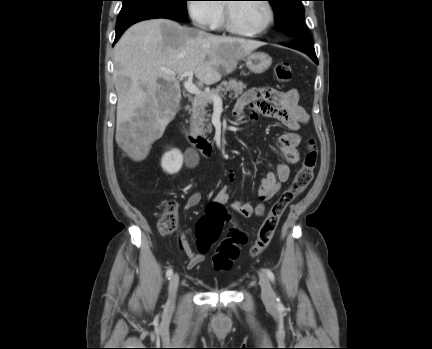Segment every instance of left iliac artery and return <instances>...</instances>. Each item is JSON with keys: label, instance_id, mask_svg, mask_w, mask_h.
I'll return each mask as SVG.
<instances>
[{"label": "left iliac artery", "instance_id": "obj_1", "mask_svg": "<svg viewBox=\"0 0 432 349\" xmlns=\"http://www.w3.org/2000/svg\"><path fill=\"white\" fill-rule=\"evenodd\" d=\"M266 274H267L268 278L270 279V281L272 283H274L275 282L274 273L270 269H266ZM277 302H278V307H283V305H282V303H281V301H280L279 298H277Z\"/></svg>", "mask_w": 432, "mask_h": 349}]
</instances>
